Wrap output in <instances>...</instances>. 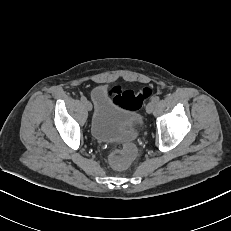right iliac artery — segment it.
Masks as SVG:
<instances>
[{"instance_id": "obj_1", "label": "right iliac artery", "mask_w": 231, "mask_h": 231, "mask_svg": "<svg viewBox=\"0 0 231 231\" xmlns=\"http://www.w3.org/2000/svg\"><path fill=\"white\" fill-rule=\"evenodd\" d=\"M80 99H81L82 102H85V101H86V97H84V96H81Z\"/></svg>"}]
</instances>
